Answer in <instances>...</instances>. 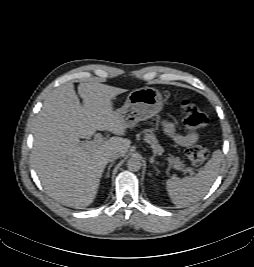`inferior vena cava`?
<instances>
[{
	"instance_id": "1",
	"label": "inferior vena cava",
	"mask_w": 254,
	"mask_h": 267,
	"mask_svg": "<svg viewBox=\"0 0 254 267\" xmlns=\"http://www.w3.org/2000/svg\"><path fill=\"white\" fill-rule=\"evenodd\" d=\"M120 157V154L118 152H112L108 156L109 161H114Z\"/></svg>"
}]
</instances>
